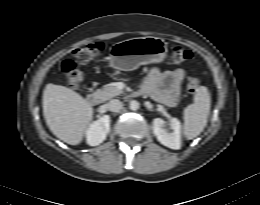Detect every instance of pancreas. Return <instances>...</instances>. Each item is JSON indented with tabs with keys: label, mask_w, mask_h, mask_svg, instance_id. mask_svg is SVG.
<instances>
[{
	"label": "pancreas",
	"mask_w": 260,
	"mask_h": 205,
	"mask_svg": "<svg viewBox=\"0 0 260 205\" xmlns=\"http://www.w3.org/2000/svg\"><path fill=\"white\" fill-rule=\"evenodd\" d=\"M122 93L123 91L115 86H104L103 88L96 91V94L102 101L110 100L111 98L116 97Z\"/></svg>",
	"instance_id": "1"
}]
</instances>
